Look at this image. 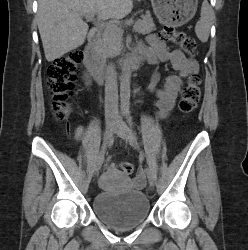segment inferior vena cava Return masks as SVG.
<instances>
[{
    "mask_svg": "<svg viewBox=\"0 0 248 250\" xmlns=\"http://www.w3.org/2000/svg\"><path fill=\"white\" fill-rule=\"evenodd\" d=\"M118 116V86L115 68L108 65L105 77V118L116 120Z\"/></svg>",
    "mask_w": 248,
    "mask_h": 250,
    "instance_id": "inferior-vena-cava-1",
    "label": "inferior vena cava"
}]
</instances>
